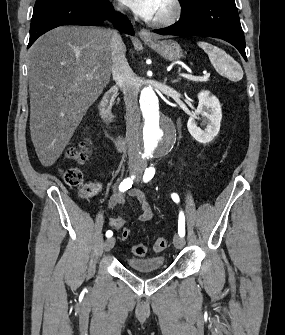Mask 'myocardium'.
I'll return each instance as SVG.
<instances>
[{
    "mask_svg": "<svg viewBox=\"0 0 285 335\" xmlns=\"http://www.w3.org/2000/svg\"><path fill=\"white\" fill-rule=\"evenodd\" d=\"M181 13L180 1H165L164 13L155 20V25L163 27L172 24L180 18Z\"/></svg>",
    "mask_w": 285,
    "mask_h": 335,
    "instance_id": "obj_1",
    "label": "myocardium"
}]
</instances>
